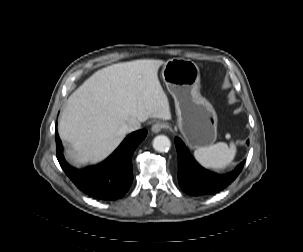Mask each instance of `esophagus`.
Returning a JSON list of instances; mask_svg holds the SVG:
<instances>
[{"mask_svg":"<svg viewBox=\"0 0 303 252\" xmlns=\"http://www.w3.org/2000/svg\"><path fill=\"white\" fill-rule=\"evenodd\" d=\"M166 127L167 125L165 123L157 122L152 126L151 130L153 133H159Z\"/></svg>","mask_w":303,"mask_h":252,"instance_id":"esophagus-1","label":"esophagus"}]
</instances>
